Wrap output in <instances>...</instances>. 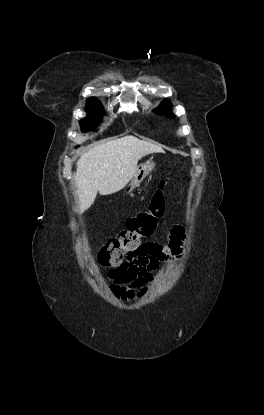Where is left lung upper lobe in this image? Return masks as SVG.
Returning <instances> with one entry per match:
<instances>
[{"label":"left lung upper lobe","mask_w":264,"mask_h":415,"mask_svg":"<svg viewBox=\"0 0 264 415\" xmlns=\"http://www.w3.org/2000/svg\"><path fill=\"white\" fill-rule=\"evenodd\" d=\"M171 106H172V104H171V102H170V101H168V100H164V101L160 104L159 108L155 109L154 111H155L156 113H158V114H164V115H166L167 117L174 118V117H175V115H174V114L172 113V111H171Z\"/></svg>","instance_id":"5c2ea615"}]
</instances>
